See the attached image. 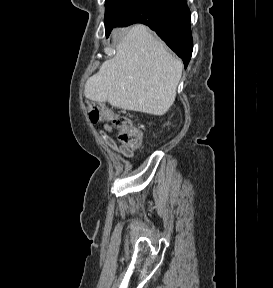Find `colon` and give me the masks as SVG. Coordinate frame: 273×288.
<instances>
[{
    "label": "colon",
    "instance_id": "colon-1",
    "mask_svg": "<svg viewBox=\"0 0 273 288\" xmlns=\"http://www.w3.org/2000/svg\"><path fill=\"white\" fill-rule=\"evenodd\" d=\"M89 118L94 123L110 122L117 132L118 142L125 148L136 149L142 146V133L124 116L114 113L105 105L91 103L88 107Z\"/></svg>",
    "mask_w": 273,
    "mask_h": 288
}]
</instances>
